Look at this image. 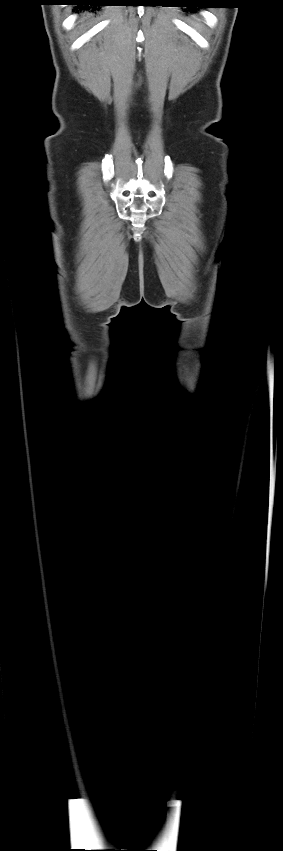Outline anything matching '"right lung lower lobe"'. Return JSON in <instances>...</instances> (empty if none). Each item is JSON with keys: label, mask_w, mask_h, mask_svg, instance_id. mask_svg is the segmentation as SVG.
<instances>
[{"label": "right lung lower lobe", "mask_w": 283, "mask_h": 851, "mask_svg": "<svg viewBox=\"0 0 283 851\" xmlns=\"http://www.w3.org/2000/svg\"><path fill=\"white\" fill-rule=\"evenodd\" d=\"M76 2L78 5L102 6L103 0H68Z\"/></svg>", "instance_id": "98d812e1"}]
</instances>
